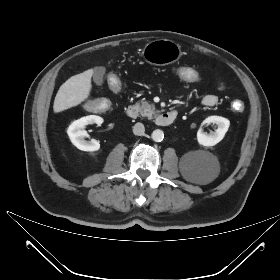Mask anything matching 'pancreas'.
I'll list each match as a JSON object with an SVG mask.
<instances>
[{
  "instance_id": "cf45deb5",
  "label": "pancreas",
  "mask_w": 280,
  "mask_h": 280,
  "mask_svg": "<svg viewBox=\"0 0 280 280\" xmlns=\"http://www.w3.org/2000/svg\"><path fill=\"white\" fill-rule=\"evenodd\" d=\"M136 105L140 107L142 116H146L148 119H152L157 116L154 104H149L147 101H144L137 103Z\"/></svg>"
}]
</instances>
